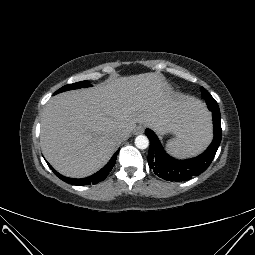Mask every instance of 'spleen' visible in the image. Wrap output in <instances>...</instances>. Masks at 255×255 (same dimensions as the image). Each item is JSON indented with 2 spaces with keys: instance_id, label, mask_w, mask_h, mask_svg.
<instances>
[{
  "instance_id": "1",
  "label": "spleen",
  "mask_w": 255,
  "mask_h": 255,
  "mask_svg": "<svg viewBox=\"0 0 255 255\" xmlns=\"http://www.w3.org/2000/svg\"><path fill=\"white\" fill-rule=\"evenodd\" d=\"M211 138V116L204 110L186 132L169 140L166 146L171 154L187 157L203 151L209 145Z\"/></svg>"
}]
</instances>
